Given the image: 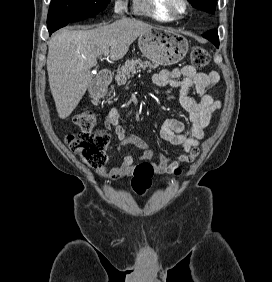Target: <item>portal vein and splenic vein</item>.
<instances>
[{"mask_svg": "<svg viewBox=\"0 0 272 282\" xmlns=\"http://www.w3.org/2000/svg\"><path fill=\"white\" fill-rule=\"evenodd\" d=\"M108 54H109V49H107V50L104 51V56H105V57L108 56Z\"/></svg>", "mask_w": 272, "mask_h": 282, "instance_id": "18ae733b", "label": "portal vein and splenic vein"}]
</instances>
